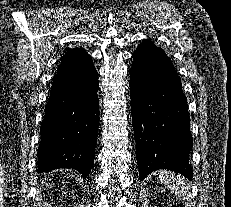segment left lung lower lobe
<instances>
[{"instance_id":"left-lung-lower-lobe-1","label":"left lung lower lobe","mask_w":231,"mask_h":207,"mask_svg":"<svg viewBox=\"0 0 231 207\" xmlns=\"http://www.w3.org/2000/svg\"><path fill=\"white\" fill-rule=\"evenodd\" d=\"M132 57L131 112L140 180L158 169L192 179L190 117L174 66L150 40H143Z\"/></svg>"}]
</instances>
